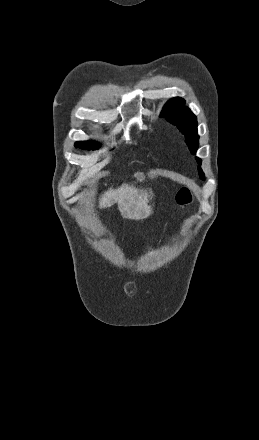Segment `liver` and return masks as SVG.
<instances>
[{"label":"liver","instance_id":"liver-1","mask_svg":"<svg viewBox=\"0 0 259 440\" xmlns=\"http://www.w3.org/2000/svg\"><path fill=\"white\" fill-rule=\"evenodd\" d=\"M151 190L138 189L133 185L122 184L117 189H108L99 200V207L108 208L117 203L123 218L131 220H143L152 213L149 201L152 199Z\"/></svg>","mask_w":259,"mask_h":440}]
</instances>
